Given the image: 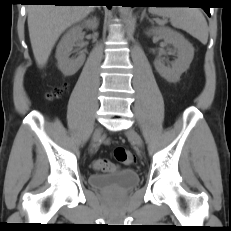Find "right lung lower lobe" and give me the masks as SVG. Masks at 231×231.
Here are the masks:
<instances>
[{"label":"right lung lower lobe","instance_id":"1","mask_svg":"<svg viewBox=\"0 0 231 231\" xmlns=\"http://www.w3.org/2000/svg\"><path fill=\"white\" fill-rule=\"evenodd\" d=\"M28 3H51L54 5H76V2L71 1H77V0H24ZM108 8H111L110 5H107Z\"/></svg>","mask_w":231,"mask_h":231}]
</instances>
